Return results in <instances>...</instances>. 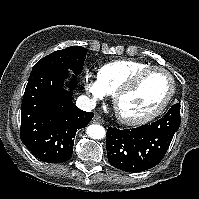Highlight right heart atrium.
I'll return each mask as SVG.
<instances>
[{
    "label": "right heart atrium",
    "instance_id": "right-heart-atrium-1",
    "mask_svg": "<svg viewBox=\"0 0 199 199\" xmlns=\"http://www.w3.org/2000/svg\"><path fill=\"white\" fill-rule=\"evenodd\" d=\"M85 92L89 95L92 102L103 99L107 96V91L98 81V79H89L84 83Z\"/></svg>",
    "mask_w": 199,
    "mask_h": 199
}]
</instances>
